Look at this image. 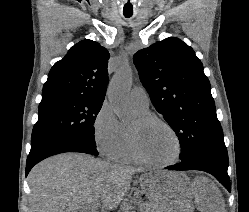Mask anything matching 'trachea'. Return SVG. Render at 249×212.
I'll use <instances>...</instances> for the list:
<instances>
[{
    "instance_id": "1",
    "label": "trachea",
    "mask_w": 249,
    "mask_h": 212,
    "mask_svg": "<svg viewBox=\"0 0 249 212\" xmlns=\"http://www.w3.org/2000/svg\"><path fill=\"white\" fill-rule=\"evenodd\" d=\"M124 16H125L126 18H130V17L132 16V13H124Z\"/></svg>"
}]
</instances>
